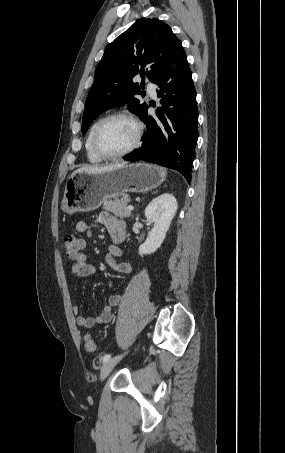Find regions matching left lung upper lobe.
<instances>
[{
    "mask_svg": "<svg viewBox=\"0 0 285 453\" xmlns=\"http://www.w3.org/2000/svg\"><path fill=\"white\" fill-rule=\"evenodd\" d=\"M170 27L155 18L136 21L110 43L95 71L82 119V132L103 111L127 104L130 112L142 116L148 107L136 98L144 78L153 82L163 69L172 50L180 44ZM140 76L142 84L133 79Z\"/></svg>",
    "mask_w": 285,
    "mask_h": 453,
    "instance_id": "5c2ea615",
    "label": "left lung upper lobe"
}]
</instances>
